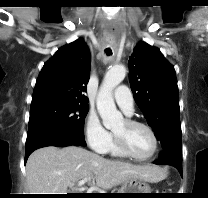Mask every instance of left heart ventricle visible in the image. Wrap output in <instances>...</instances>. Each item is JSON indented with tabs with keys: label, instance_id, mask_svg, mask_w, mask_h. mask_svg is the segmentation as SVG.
I'll return each mask as SVG.
<instances>
[{
	"label": "left heart ventricle",
	"instance_id": "1",
	"mask_svg": "<svg viewBox=\"0 0 208 198\" xmlns=\"http://www.w3.org/2000/svg\"><path fill=\"white\" fill-rule=\"evenodd\" d=\"M113 132L125 140L131 152L136 156H148L153 150V139L143 127L128 126L123 120L113 128Z\"/></svg>",
	"mask_w": 208,
	"mask_h": 198
}]
</instances>
